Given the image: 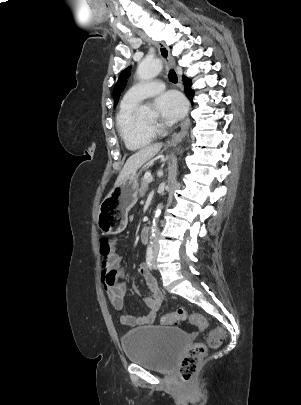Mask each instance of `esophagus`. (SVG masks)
<instances>
[{"label": "esophagus", "mask_w": 301, "mask_h": 405, "mask_svg": "<svg viewBox=\"0 0 301 405\" xmlns=\"http://www.w3.org/2000/svg\"><path fill=\"white\" fill-rule=\"evenodd\" d=\"M139 35L145 41L153 42V40L146 33L140 32ZM156 45H157L159 54L162 57V59L164 60V62L167 65L175 68V65H176L175 59L171 55L170 49L166 46V44L164 42H157ZM188 128H189V117L187 116L186 119L181 124L180 131L178 133H175L171 137V140H170L169 144L170 145H175V144L179 143L183 139V137L187 134Z\"/></svg>", "instance_id": "obj_1"}]
</instances>
